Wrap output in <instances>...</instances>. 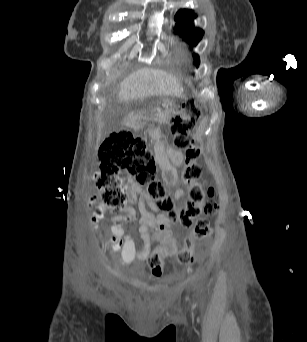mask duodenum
<instances>
[{"label":"duodenum","mask_w":307,"mask_h":342,"mask_svg":"<svg viewBox=\"0 0 307 342\" xmlns=\"http://www.w3.org/2000/svg\"><path fill=\"white\" fill-rule=\"evenodd\" d=\"M121 122L124 128H131L133 119L132 117H122Z\"/></svg>","instance_id":"410a0bca"}]
</instances>
